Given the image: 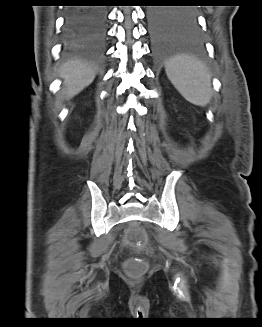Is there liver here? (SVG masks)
<instances>
[{
  "label": "liver",
  "mask_w": 262,
  "mask_h": 327,
  "mask_svg": "<svg viewBox=\"0 0 262 327\" xmlns=\"http://www.w3.org/2000/svg\"><path fill=\"white\" fill-rule=\"evenodd\" d=\"M64 80V93L70 99L89 86L96 75L95 70L77 60L66 62L60 73Z\"/></svg>",
  "instance_id": "liver-1"
}]
</instances>
